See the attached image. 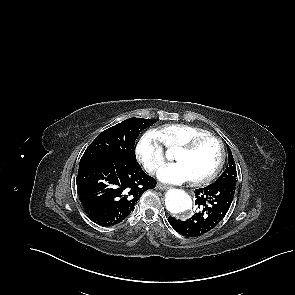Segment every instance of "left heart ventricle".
I'll use <instances>...</instances> for the list:
<instances>
[{
	"instance_id": "left-heart-ventricle-1",
	"label": "left heart ventricle",
	"mask_w": 295,
	"mask_h": 295,
	"mask_svg": "<svg viewBox=\"0 0 295 295\" xmlns=\"http://www.w3.org/2000/svg\"><path fill=\"white\" fill-rule=\"evenodd\" d=\"M220 158L219 145L215 140L202 142L194 151L189 153L177 151L175 159L187 165L193 178H202L210 174Z\"/></svg>"
}]
</instances>
